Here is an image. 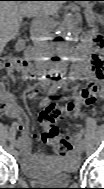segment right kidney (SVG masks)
Wrapping results in <instances>:
<instances>
[{
	"label": "right kidney",
	"instance_id": "obj_1",
	"mask_svg": "<svg viewBox=\"0 0 104 189\" xmlns=\"http://www.w3.org/2000/svg\"><path fill=\"white\" fill-rule=\"evenodd\" d=\"M24 42L22 40L18 41L15 45L16 51H21L24 48Z\"/></svg>",
	"mask_w": 104,
	"mask_h": 189
}]
</instances>
